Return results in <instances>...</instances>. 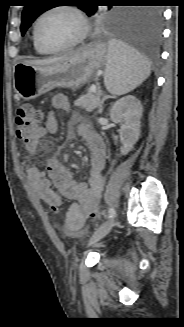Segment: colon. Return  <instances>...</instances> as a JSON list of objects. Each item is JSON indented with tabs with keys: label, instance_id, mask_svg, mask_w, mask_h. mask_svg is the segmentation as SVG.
Listing matches in <instances>:
<instances>
[{
	"label": "colon",
	"instance_id": "colon-1",
	"mask_svg": "<svg viewBox=\"0 0 184 327\" xmlns=\"http://www.w3.org/2000/svg\"><path fill=\"white\" fill-rule=\"evenodd\" d=\"M42 113L32 105L24 104L17 109L15 122L17 126V137L21 140L27 141L33 137L40 128ZM54 211L57 209L54 208ZM90 217L97 218L98 211L94 210Z\"/></svg>",
	"mask_w": 184,
	"mask_h": 327
}]
</instances>
